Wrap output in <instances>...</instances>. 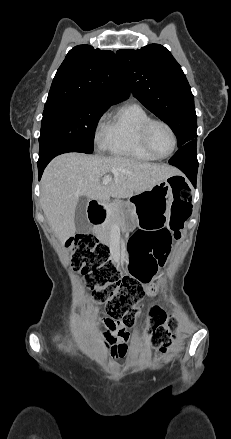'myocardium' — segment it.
<instances>
[{"mask_svg": "<svg viewBox=\"0 0 231 439\" xmlns=\"http://www.w3.org/2000/svg\"><path fill=\"white\" fill-rule=\"evenodd\" d=\"M154 125L164 126L170 132V134L172 136V148L165 155L156 154L155 151L151 147L149 135H150V131ZM141 142H142L143 147L146 149V151L148 153H150L154 158L165 159V158L170 157L175 152V150L177 148V144H178V138H177V134H176L174 128L167 121L162 120V119H150L142 128Z\"/></svg>", "mask_w": 231, "mask_h": 439, "instance_id": "obj_1", "label": "myocardium"}]
</instances>
